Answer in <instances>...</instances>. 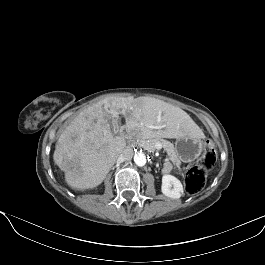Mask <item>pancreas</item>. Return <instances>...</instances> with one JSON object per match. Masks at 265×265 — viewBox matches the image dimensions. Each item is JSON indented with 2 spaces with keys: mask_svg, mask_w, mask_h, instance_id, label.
<instances>
[{
  "mask_svg": "<svg viewBox=\"0 0 265 265\" xmlns=\"http://www.w3.org/2000/svg\"><path fill=\"white\" fill-rule=\"evenodd\" d=\"M160 143L164 150L167 152L169 159L175 164L180 165V161L176 155L174 145L161 138H153L149 140H139V145L147 150L148 152H154L156 149V144Z\"/></svg>",
  "mask_w": 265,
  "mask_h": 265,
  "instance_id": "obj_1",
  "label": "pancreas"
}]
</instances>
